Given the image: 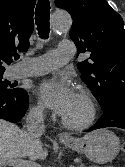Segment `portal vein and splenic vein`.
<instances>
[{"label":"portal vein and splenic vein","instance_id":"portal-vein-and-splenic-vein-1","mask_svg":"<svg viewBox=\"0 0 125 167\" xmlns=\"http://www.w3.org/2000/svg\"><path fill=\"white\" fill-rule=\"evenodd\" d=\"M75 162L77 161L74 160ZM2 165H9L14 167H40L38 164L28 161V160H22L20 158H3L0 159V166ZM74 167V166H70Z\"/></svg>","mask_w":125,"mask_h":167}]
</instances>
